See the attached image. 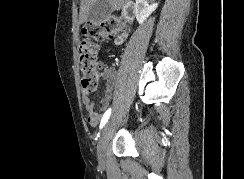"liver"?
Returning a JSON list of instances; mask_svg holds the SVG:
<instances>
[{"label": "liver", "mask_w": 244, "mask_h": 179, "mask_svg": "<svg viewBox=\"0 0 244 179\" xmlns=\"http://www.w3.org/2000/svg\"><path fill=\"white\" fill-rule=\"evenodd\" d=\"M96 0H81L80 12H79V22L83 24L88 18V14L94 6ZM113 10H121L122 6L128 2V0H110Z\"/></svg>", "instance_id": "6515ba94"}]
</instances>
